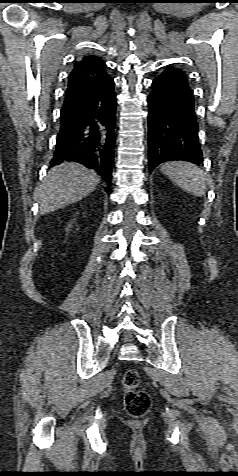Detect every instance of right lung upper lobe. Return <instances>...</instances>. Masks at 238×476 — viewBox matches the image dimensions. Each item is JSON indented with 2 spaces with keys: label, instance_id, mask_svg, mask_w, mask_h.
Masks as SVG:
<instances>
[{
  "label": "right lung upper lobe",
  "instance_id": "obj_1",
  "mask_svg": "<svg viewBox=\"0 0 238 476\" xmlns=\"http://www.w3.org/2000/svg\"><path fill=\"white\" fill-rule=\"evenodd\" d=\"M104 61L95 56H84L74 63L68 76L63 108L72 106L98 90L110 77L106 73Z\"/></svg>",
  "mask_w": 238,
  "mask_h": 476
}]
</instances>
